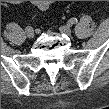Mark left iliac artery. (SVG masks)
Segmentation results:
<instances>
[{
    "mask_svg": "<svg viewBox=\"0 0 109 109\" xmlns=\"http://www.w3.org/2000/svg\"><path fill=\"white\" fill-rule=\"evenodd\" d=\"M77 22H78V20H77L76 18H71V19H69L68 24H69V25H74V24H76Z\"/></svg>",
    "mask_w": 109,
    "mask_h": 109,
    "instance_id": "left-iliac-artery-1",
    "label": "left iliac artery"
}]
</instances>
